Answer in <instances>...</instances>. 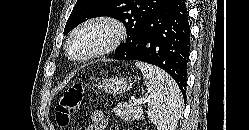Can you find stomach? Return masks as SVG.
Listing matches in <instances>:
<instances>
[{
    "mask_svg": "<svg viewBox=\"0 0 249 130\" xmlns=\"http://www.w3.org/2000/svg\"><path fill=\"white\" fill-rule=\"evenodd\" d=\"M133 80L126 77H111L105 79L100 84V88L108 94H118L131 89Z\"/></svg>",
    "mask_w": 249,
    "mask_h": 130,
    "instance_id": "0dacf381",
    "label": "stomach"
}]
</instances>
